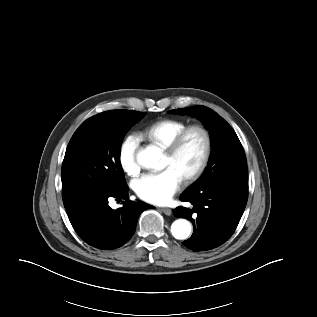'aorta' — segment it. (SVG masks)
Here are the masks:
<instances>
[{
  "label": "aorta",
  "instance_id": "762f6f07",
  "mask_svg": "<svg viewBox=\"0 0 317 317\" xmlns=\"http://www.w3.org/2000/svg\"><path fill=\"white\" fill-rule=\"evenodd\" d=\"M163 158L162 150L155 146L149 145L141 149L137 154V162L145 169L160 170L164 166L160 163ZM191 224L186 219H177L171 225V233L174 238L185 240L191 233Z\"/></svg>",
  "mask_w": 317,
  "mask_h": 317
}]
</instances>
